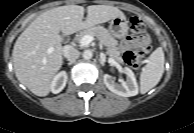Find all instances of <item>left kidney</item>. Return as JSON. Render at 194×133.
<instances>
[{"mask_svg": "<svg viewBox=\"0 0 194 133\" xmlns=\"http://www.w3.org/2000/svg\"><path fill=\"white\" fill-rule=\"evenodd\" d=\"M124 73L127 76L126 81L122 80L120 84L116 83L112 76L105 74L103 77L104 84L111 92L119 96L131 97L137 95L138 85L134 73L128 67L124 68Z\"/></svg>", "mask_w": 194, "mask_h": 133, "instance_id": "5707ae66", "label": "left kidney"}]
</instances>
